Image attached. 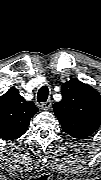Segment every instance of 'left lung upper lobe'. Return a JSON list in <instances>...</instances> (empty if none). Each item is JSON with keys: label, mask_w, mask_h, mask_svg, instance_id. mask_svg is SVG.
I'll return each mask as SVG.
<instances>
[{"label": "left lung upper lobe", "mask_w": 101, "mask_h": 180, "mask_svg": "<svg viewBox=\"0 0 101 180\" xmlns=\"http://www.w3.org/2000/svg\"><path fill=\"white\" fill-rule=\"evenodd\" d=\"M62 100L53 109L62 129L76 139H85L94 133L101 122L99 93L75 78L62 87Z\"/></svg>", "instance_id": "1"}]
</instances>
